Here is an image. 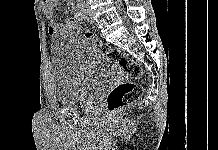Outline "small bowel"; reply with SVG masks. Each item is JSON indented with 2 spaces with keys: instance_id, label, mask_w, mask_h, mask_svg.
Listing matches in <instances>:
<instances>
[{
  "instance_id": "small-bowel-1",
  "label": "small bowel",
  "mask_w": 218,
  "mask_h": 150,
  "mask_svg": "<svg viewBox=\"0 0 218 150\" xmlns=\"http://www.w3.org/2000/svg\"><path fill=\"white\" fill-rule=\"evenodd\" d=\"M59 0H42V10L45 16L50 20L48 32L50 35L55 36L69 32L65 23H57L53 20L55 7L58 5ZM68 1V12L72 13L75 9V0Z\"/></svg>"
}]
</instances>
